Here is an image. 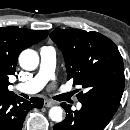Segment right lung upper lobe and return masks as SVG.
<instances>
[{"label": "right lung upper lobe", "mask_w": 130, "mask_h": 130, "mask_svg": "<svg viewBox=\"0 0 130 130\" xmlns=\"http://www.w3.org/2000/svg\"><path fill=\"white\" fill-rule=\"evenodd\" d=\"M48 36V31L29 30L16 26L0 27V95L12 94L8 79L16 71L20 52Z\"/></svg>", "instance_id": "1"}]
</instances>
